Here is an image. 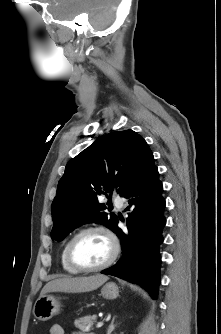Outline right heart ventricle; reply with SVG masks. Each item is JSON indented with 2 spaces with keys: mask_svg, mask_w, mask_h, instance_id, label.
I'll use <instances>...</instances> for the list:
<instances>
[{
  "mask_svg": "<svg viewBox=\"0 0 221 334\" xmlns=\"http://www.w3.org/2000/svg\"><path fill=\"white\" fill-rule=\"evenodd\" d=\"M67 243L66 242L62 248V251H61V265H62V268L68 272V273H71V274H77L79 271L75 270L74 268H72L67 260H66V247H67Z\"/></svg>",
  "mask_w": 221,
  "mask_h": 334,
  "instance_id": "right-heart-ventricle-1",
  "label": "right heart ventricle"
}]
</instances>
